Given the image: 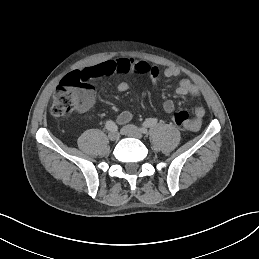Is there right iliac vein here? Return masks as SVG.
I'll use <instances>...</instances> for the list:
<instances>
[{
    "mask_svg": "<svg viewBox=\"0 0 259 259\" xmlns=\"http://www.w3.org/2000/svg\"><path fill=\"white\" fill-rule=\"evenodd\" d=\"M108 138L111 140V141H115L117 138H118V133L116 131H110L108 133Z\"/></svg>",
    "mask_w": 259,
    "mask_h": 259,
    "instance_id": "1",
    "label": "right iliac vein"
}]
</instances>
